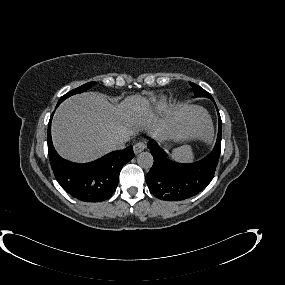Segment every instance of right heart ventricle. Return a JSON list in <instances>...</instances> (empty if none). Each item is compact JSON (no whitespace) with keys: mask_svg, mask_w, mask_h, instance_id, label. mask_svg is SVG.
<instances>
[{"mask_svg":"<svg viewBox=\"0 0 285 285\" xmlns=\"http://www.w3.org/2000/svg\"><path fill=\"white\" fill-rule=\"evenodd\" d=\"M166 101H167L166 97L161 98L159 107H162L163 105H165Z\"/></svg>","mask_w":285,"mask_h":285,"instance_id":"1","label":"right heart ventricle"}]
</instances>
